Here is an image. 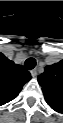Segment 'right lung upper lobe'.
<instances>
[{
    "label": "right lung upper lobe",
    "mask_w": 63,
    "mask_h": 123,
    "mask_svg": "<svg viewBox=\"0 0 63 123\" xmlns=\"http://www.w3.org/2000/svg\"><path fill=\"white\" fill-rule=\"evenodd\" d=\"M0 71V99L4 104L17 97L23 85L31 79V75L5 56L2 57Z\"/></svg>",
    "instance_id": "obj_1"
}]
</instances>
